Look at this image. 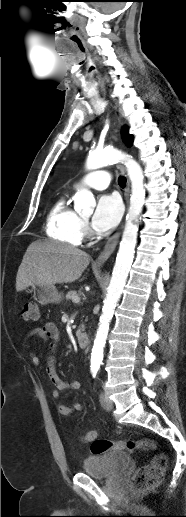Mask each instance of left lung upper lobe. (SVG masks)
<instances>
[{
    "label": "left lung upper lobe",
    "mask_w": 186,
    "mask_h": 517,
    "mask_svg": "<svg viewBox=\"0 0 186 517\" xmlns=\"http://www.w3.org/2000/svg\"><path fill=\"white\" fill-rule=\"evenodd\" d=\"M123 139L128 146L131 145L133 142V136L128 134L127 128L123 129Z\"/></svg>",
    "instance_id": "1"
}]
</instances>
